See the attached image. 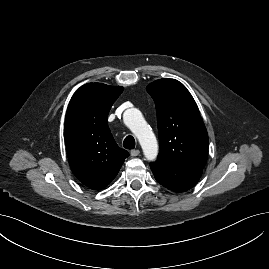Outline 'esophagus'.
<instances>
[{
  "instance_id": "obj_1",
  "label": "esophagus",
  "mask_w": 269,
  "mask_h": 269,
  "mask_svg": "<svg viewBox=\"0 0 269 269\" xmlns=\"http://www.w3.org/2000/svg\"><path fill=\"white\" fill-rule=\"evenodd\" d=\"M132 157H136L140 154V151L138 149H134L130 152Z\"/></svg>"
}]
</instances>
